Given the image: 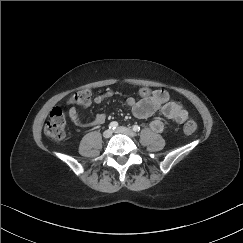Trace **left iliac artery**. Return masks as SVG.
Here are the masks:
<instances>
[{"label": "left iliac artery", "instance_id": "left-iliac-artery-1", "mask_svg": "<svg viewBox=\"0 0 243 243\" xmlns=\"http://www.w3.org/2000/svg\"><path fill=\"white\" fill-rule=\"evenodd\" d=\"M133 130H134L135 132H139V131H140V127H139L138 125H134V126H133Z\"/></svg>", "mask_w": 243, "mask_h": 243}]
</instances>
